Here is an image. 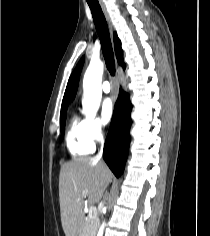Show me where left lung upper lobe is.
I'll list each match as a JSON object with an SVG mask.
<instances>
[{"label":"left lung upper lobe","instance_id":"obj_1","mask_svg":"<svg viewBox=\"0 0 210 236\" xmlns=\"http://www.w3.org/2000/svg\"><path fill=\"white\" fill-rule=\"evenodd\" d=\"M84 63V57L81 58L79 64H78V69H77V75H76V83H75V88H74V93H73V98L75 96L76 90H77V85H78V79H79V75L82 69Z\"/></svg>","mask_w":210,"mask_h":236}]
</instances>
